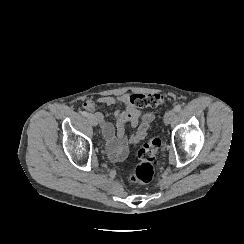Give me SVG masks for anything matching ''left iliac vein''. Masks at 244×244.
<instances>
[{"label": "left iliac vein", "instance_id": "1", "mask_svg": "<svg viewBox=\"0 0 244 244\" xmlns=\"http://www.w3.org/2000/svg\"><path fill=\"white\" fill-rule=\"evenodd\" d=\"M176 117V113L174 110H169L164 117V123L165 124H170L173 119Z\"/></svg>", "mask_w": 244, "mask_h": 244}]
</instances>
